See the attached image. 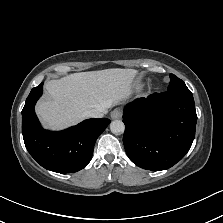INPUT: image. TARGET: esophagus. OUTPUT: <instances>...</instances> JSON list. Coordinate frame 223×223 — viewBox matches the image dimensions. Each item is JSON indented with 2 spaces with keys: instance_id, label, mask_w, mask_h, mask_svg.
Here are the masks:
<instances>
[{
  "instance_id": "obj_1",
  "label": "esophagus",
  "mask_w": 223,
  "mask_h": 223,
  "mask_svg": "<svg viewBox=\"0 0 223 223\" xmlns=\"http://www.w3.org/2000/svg\"><path fill=\"white\" fill-rule=\"evenodd\" d=\"M111 118L112 119H121L122 118V112L120 109H114L111 112Z\"/></svg>"
}]
</instances>
